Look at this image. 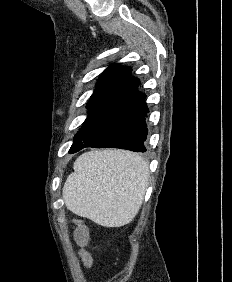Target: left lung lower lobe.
Wrapping results in <instances>:
<instances>
[{"mask_svg":"<svg viewBox=\"0 0 232 282\" xmlns=\"http://www.w3.org/2000/svg\"><path fill=\"white\" fill-rule=\"evenodd\" d=\"M138 84L139 79L130 77L99 115L89 140L71 146L69 152L75 153L86 147L145 152V117L149 110L145 104V94L138 91Z\"/></svg>","mask_w":232,"mask_h":282,"instance_id":"0a47b994","label":"left lung lower lobe"}]
</instances>
